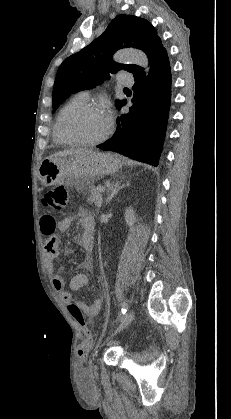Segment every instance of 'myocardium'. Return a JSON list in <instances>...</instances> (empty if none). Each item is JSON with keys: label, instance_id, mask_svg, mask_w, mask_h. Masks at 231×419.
<instances>
[{"label": "myocardium", "instance_id": "1", "mask_svg": "<svg viewBox=\"0 0 231 419\" xmlns=\"http://www.w3.org/2000/svg\"><path fill=\"white\" fill-rule=\"evenodd\" d=\"M84 110H102L103 108L96 103H91V102H85L82 104H78L72 108H70L69 110H67L64 115L62 116L61 120H60V132L63 135V137L65 139H67L69 142L73 143V144H78V145H97L101 142H103L104 140H106L109 135L111 134V130H112V124L111 121L109 120L108 123V127L106 129V131L99 137L95 138V139H82L79 137H76L72 134H70L66 128V122L67 120L74 114L80 112V111H84Z\"/></svg>", "mask_w": 231, "mask_h": 419}]
</instances>
